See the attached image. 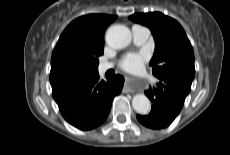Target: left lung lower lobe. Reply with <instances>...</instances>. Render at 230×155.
I'll return each instance as SVG.
<instances>
[{"mask_svg": "<svg viewBox=\"0 0 230 155\" xmlns=\"http://www.w3.org/2000/svg\"><path fill=\"white\" fill-rule=\"evenodd\" d=\"M190 89L173 81H161L157 88H150L145 94L152 101L149 115H137L138 121L152 129L169 126L181 111Z\"/></svg>", "mask_w": 230, "mask_h": 155, "instance_id": "0a47b994", "label": "left lung lower lobe"}]
</instances>
